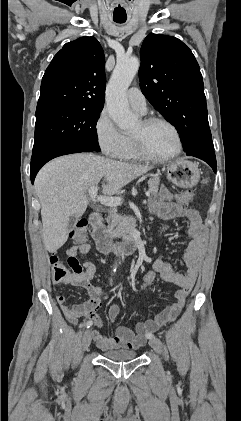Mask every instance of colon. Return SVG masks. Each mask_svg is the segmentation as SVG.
<instances>
[{"label":"colon","instance_id":"1","mask_svg":"<svg viewBox=\"0 0 241 421\" xmlns=\"http://www.w3.org/2000/svg\"><path fill=\"white\" fill-rule=\"evenodd\" d=\"M194 193L191 190L182 192L176 196V201L182 206H186L193 201ZM167 228V224H163L159 229V234L162 235ZM87 231L88 223L85 220L79 221L73 231L71 232V239L78 244L85 243L87 240ZM50 263L53 270V279L55 282H64L68 280L72 274H79L82 271L78 260L75 257H68L67 264L61 262L58 257L52 256L50 258ZM156 279V271L148 270L146 271L135 288L133 296H137L139 293L148 288Z\"/></svg>","mask_w":241,"mask_h":421}]
</instances>
